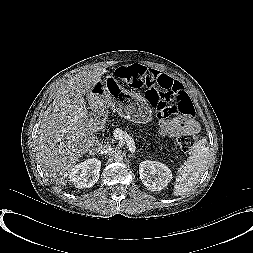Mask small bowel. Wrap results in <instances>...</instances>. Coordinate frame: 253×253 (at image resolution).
<instances>
[{
    "instance_id": "c3829d8e",
    "label": "small bowel",
    "mask_w": 253,
    "mask_h": 253,
    "mask_svg": "<svg viewBox=\"0 0 253 253\" xmlns=\"http://www.w3.org/2000/svg\"><path fill=\"white\" fill-rule=\"evenodd\" d=\"M148 70V79L151 83H154L156 80H159L161 83L168 85V86H181L182 85L175 80L174 78L170 77L169 75L159 72L154 69H147ZM198 126L197 123L191 119L186 118L183 115H178L173 117L170 120L161 121V131L164 134H167L171 137H177L181 134L188 133V132H195Z\"/></svg>"
}]
</instances>
